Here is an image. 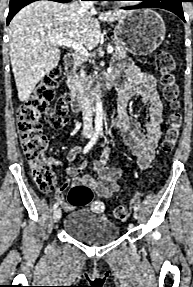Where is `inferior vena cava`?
<instances>
[{
	"label": "inferior vena cava",
	"mask_w": 193,
	"mask_h": 287,
	"mask_svg": "<svg viewBox=\"0 0 193 287\" xmlns=\"http://www.w3.org/2000/svg\"><path fill=\"white\" fill-rule=\"evenodd\" d=\"M83 8H90L94 10L92 1H80ZM80 81L83 85L84 91L82 93V116H83V137L90 138L93 135V120H92V103L88 93L86 72L82 68L80 70Z\"/></svg>",
	"instance_id": "inferior-vena-cava-1"
}]
</instances>
